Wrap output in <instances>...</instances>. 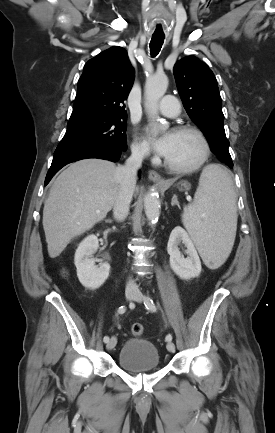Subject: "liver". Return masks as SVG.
<instances>
[{
	"instance_id": "obj_1",
	"label": "liver",
	"mask_w": 275,
	"mask_h": 433,
	"mask_svg": "<svg viewBox=\"0 0 275 433\" xmlns=\"http://www.w3.org/2000/svg\"><path fill=\"white\" fill-rule=\"evenodd\" d=\"M117 168L107 160L84 159L56 178L44 203L42 222L51 258L58 257L73 238L90 230L112 209L120 189Z\"/></svg>"
}]
</instances>
